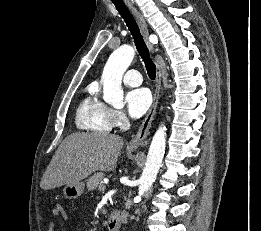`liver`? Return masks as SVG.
<instances>
[{"label":"liver","instance_id":"6515ba94","mask_svg":"<svg viewBox=\"0 0 261 231\" xmlns=\"http://www.w3.org/2000/svg\"><path fill=\"white\" fill-rule=\"evenodd\" d=\"M124 145L121 137L104 132L73 133L59 145L40 186L44 190L74 184L97 170L112 171Z\"/></svg>","mask_w":261,"mask_h":231}]
</instances>
